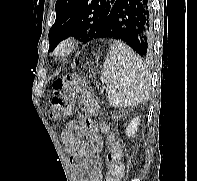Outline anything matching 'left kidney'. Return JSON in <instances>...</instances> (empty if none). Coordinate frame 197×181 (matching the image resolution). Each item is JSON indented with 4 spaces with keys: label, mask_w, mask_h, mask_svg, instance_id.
<instances>
[{
    "label": "left kidney",
    "mask_w": 197,
    "mask_h": 181,
    "mask_svg": "<svg viewBox=\"0 0 197 181\" xmlns=\"http://www.w3.org/2000/svg\"><path fill=\"white\" fill-rule=\"evenodd\" d=\"M140 124V118L139 116L134 117L130 123L128 124L127 128H126V135L128 137H134L137 129H138V125Z\"/></svg>",
    "instance_id": "obj_1"
}]
</instances>
